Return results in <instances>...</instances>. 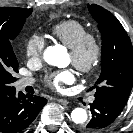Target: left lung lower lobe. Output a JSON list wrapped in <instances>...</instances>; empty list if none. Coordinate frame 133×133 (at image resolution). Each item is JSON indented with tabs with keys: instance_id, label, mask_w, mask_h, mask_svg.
Segmentation results:
<instances>
[{
	"instance_id": "1",
	"label": "left lung lower lobe",
	"mask_w": 133,
	"mask_h": 133,
	"mask_svg": "<svg viewBox=\"0 0 133 133\" xmlns=\"http://www.w3.org/2000/svg\"><path fill=\"white\" fill-rule=\"evenodd\" d=\"M124 106L105 95L96 94L94 102L90 104L92 119L82 130L84 133H98L104 130L119 116Z\"/></svg>"
}]
</instances>
